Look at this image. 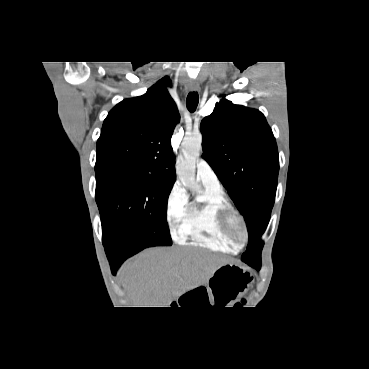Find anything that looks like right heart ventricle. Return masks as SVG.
Returning <instances> with one entry per match:
<instances>
[{"mask_svg":"<svg viewBox=\"0 0 369 369\" xmlns=\"http://www.w3.org/2000/svg\"><path fill=\"white\" fill-rule=\"evenodd\" d=\"M227 208L230 205L221 189L204 186L203 192L188 204L178 226V240L215 251L237 252L239 247L227 237L220 224V215Z\"/></svg>","mask_w":369,"mask_h":369,"instance_id":"right-heart-ventricle-1","label":"right heart ventricle"}]
</instances>
